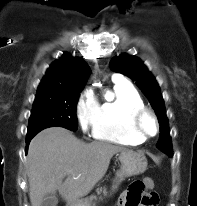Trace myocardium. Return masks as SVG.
Masks as SVG:
<instances>
[{
	"label": "myocardium",
	"instance_id": "1",
	"mask_svg": "<svg viewBox=\"0 0 197 206\" xmlns=\"http://www.w3.org/2000/svg\"><path fill=\"white\" fill-rule=\"evenodd\" d=\"M146 118H150L154 124L153 133H147L144 130L143 123ZM130 123H131V128L133 132L136 133L138 136H140L144 140L156 136L159 131V122H158L157 116L155 115L153 111H151L150 109L146 107L134 111L130 115Z\"/></svg>",
	"mask_w": 197,
	"mask_h": 206
}]
</instances>
